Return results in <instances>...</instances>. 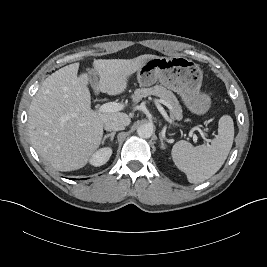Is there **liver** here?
<instances>
[{
	"label": "liver",
	"mask_w": 267,
	"mask_h": 267,
	"mask_svg": "<svg viewBox=\"0 0 267 267\" xmlns=\"http://www.w3.org/2000/svg\"><path fill=\"white\" fill-rule=\"evenodd\" d=\"M150 55L133 59L95 60L98 90L108 95L125 91L129 77ZM79 64L67 65L48 76L33 97L28 112V133L37 153L58 171L84 167L99 148L104 123L130 118L123 112L91 110L86 76L78 77Z\"/></svg>",
	"instance_id": "obj_1"
}]
</instances>
